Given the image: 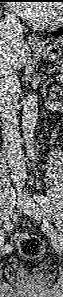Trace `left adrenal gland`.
<instances>
[{
  "instance_id": "a2214340",
  "label": "left adrenal gland",
  "mask_w": 63,
  "mask_h": 297,
  "mask_svg": "<svg viewBox=\"0 0 63 297\" xmlns=\"http://www.w3.org/2000/svg\"><path fill=\"white\" fill-rule=\"evenodd\" d=\"M53 90L55 91V92H59L60 91V87L59 86H57V87H53Z\"/></svg>"
}]
</instances>
